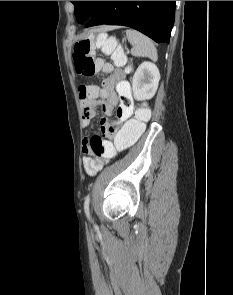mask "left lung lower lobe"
Masks as SVG:
<instances>
[{"mask_svg": "<svg viewBox=\"0 0 233 295\" xmlns=\"http://www.w3.org/2000/svg\"><path fill=\"white\" fill-rule=\"evenodd\" d=\"M174 15L175 1H101L86 27L124 25L169 43Z\"/></svg>", "mask_w": 233, "mask_h": 295, "instance_id": "obj_1", "label": "left lung lower lobe"}]
</instances>
